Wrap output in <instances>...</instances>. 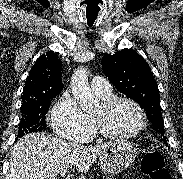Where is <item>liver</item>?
Instances as JSON below:
<instances>
[{
  "label": "liver",
  "mask_w": 183,
  "mask_h": 179,
  "mask_svg": "<svg viewBox=\"0 0 183 179\" xmlns=\"http://www.w3.org/2000/svg\"><path fill=\"white\" fill-rule=\"evenodd\" d=\"M109 144L74 148L46 133L27 134L13 147L5 179H56L62 169L71 166L81 174L77 179H85L93 162Z\"/></svg>",
  "instance_id": "1"
}]
</instances>
